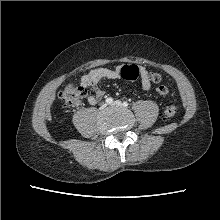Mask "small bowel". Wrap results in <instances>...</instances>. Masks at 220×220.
I'll return each instance as SVG.
<instances>
[{
    "mask_svg": "<svg viewBox=\"0 0 220 220\" xmlns=\"http://www.w3.org/2000/svg\"><path fill=\"white\" fill-rule=\"evenodd\" d=\"M120 77V68H107L99 67L90 71L86 76L81 79V86L84 89L91 91L87 100L89 104L95 105L104 96L105 92L98 86V83L103 79H118ZM140 86L143 91H149L152 89V84L147 76V71L141 68V81Z\"/></svg>",
    "mask_w": 220,
    "mask_h": 220,
    "instance_id": "small-bowel-1",
    "label": "small bowel"
}]
</instances>
